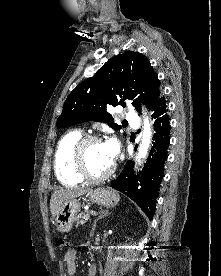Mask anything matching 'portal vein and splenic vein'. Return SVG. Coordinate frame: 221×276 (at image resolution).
Masks as SVG:
<instances>
[{
	"mask_svg": "<svg viewBox=\"0 0 221 276\" xmlns=\"http://www.w3.org/2000/svg\"><path fill=\"white\" fill-rule=\"evenodd\" d=\"M90 214H91L92 216H96V215H97V212L94 211V210H92V211H90Z\"/></svg>",
	"mask_w": 221,
	"mask_h": 276,
	"instance_id": "obj_1",
	"label": "portal vein and splenic vein"
}]
</instances>
